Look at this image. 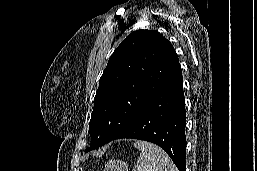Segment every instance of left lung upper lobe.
<instances>
[{
    "label": "left lung upper lobe",
    "mask_w": 257,
    "mask_h": 171,
    "mask_svg": "<svg viewBox=\"0 0 257 171\" xmlns=\"http://www.w3.org/2000/svg\"><path fill=\"white\" fill-rule=\"evenodd\" d=\"M178 56L158 31L137 30L116 48L100 78L89 123L91 146L110 142L135 118Z\"/></svg>",
    "instance_id": "left-lung-upper-lobe-1"
}]
</instances>
